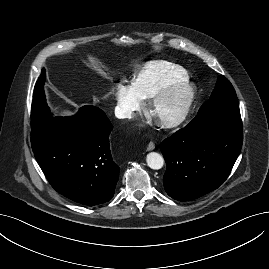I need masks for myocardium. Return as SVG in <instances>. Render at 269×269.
Listing matches in <instances>:
<instances>
[{
  "instance_id": "1",
  "label": "myocardium",
  "mask_w": 269,
  "mask_h": 269,
  "mask_svg": "<svg viewBox=\"0 0 269 269\" xmlns=\"http://www.w3.org/2000/svg\"><path fill=\"white\" fill-rule=\"evenodd\" d=\"M180 95L182 97L179 112L173 118L167 120H157L160 127L164 129H172L180 126L187 119L195 101L196 89L194 85L188 81L173 84L155 95L148 102V112L152 115L154 109L166 99ZM153 116V115H152Z\"/></svg>"
}]
</instances>
